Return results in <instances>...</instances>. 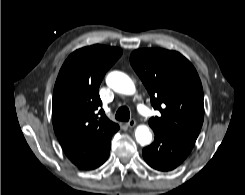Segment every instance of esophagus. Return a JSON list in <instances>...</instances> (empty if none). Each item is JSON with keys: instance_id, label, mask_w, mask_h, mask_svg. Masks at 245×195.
Here are the masks:
<instances>
[{"instance_id": "1", "label": "esophagus", "mask_w": 245, "mask_h": 195, "mask_svg": "<svg viewBox=\"0 0 245 195\" xmlns=\"http://www.w3.org/2000/svg\"><path fill=\"white\" fill-rule=\"evenodd\" d=\"M126 125L129 128H133L136 125V121L134 119H131L126 123Z\"/></svg>"}]
</instances>
